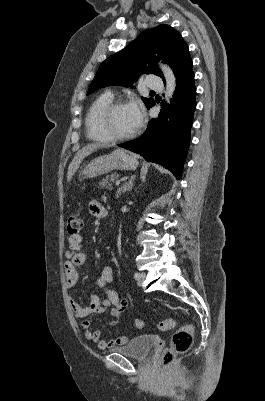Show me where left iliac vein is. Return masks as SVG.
Returning a JSON list of instances; mask_svg holds the SVG:
<instances>
[{
  "instance_id": "obj_1",
  "label": "left iliac vein",
  "mask_w": 265,
  "mask_h": 401,
  "mask_svg": "<svg viewBox=\"0 0 265 401\" xmlns=\"http://www.w3.org/2000/svg\"><path fill=\"white\" fill-rule=\"evenodd\" d=\"M145 277H146V274L144 272H138L137 278H136L138 284H141L144 281Z\"/></svg>"
}]
</instances>
